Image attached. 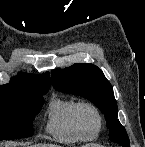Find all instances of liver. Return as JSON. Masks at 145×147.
<instances>
[{
	"instance_id": "liver-1",
	"label": "liver",
	"mask_w": 145,
	"mask_h": 147,
	"mask_svg": "<svg viewBox=\"0 0 145 147\" xmlns=\"http://www.w3.org/2000/svg\"><path fill=\"white\" fill-rule=\"evenodd\" d=\"M31 147H58V146L54 144H36Z\"/></svg>"
}]
</instances>
